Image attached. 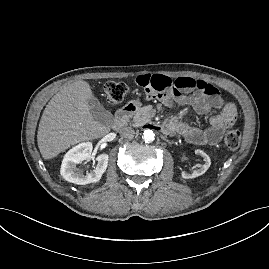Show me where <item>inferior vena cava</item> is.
Listing matches in <instances>:
<instances>
[{"mask_svg":"<svg viewBox=\"0 0 269 269\" xmlns=\"http://www.w3.org/2000/svg\"><path fill=\"white\" fill-rule=\"evenodd\" d=\"M120 134L124 138H133L135 135V131L131 127H124L120 130Z\"/></svg>","mask_w":269,"mask_h":269,"instance_id":"inferior-vena-cava-1","label":"inferior vena cava"}]
</instances>
